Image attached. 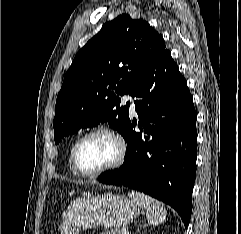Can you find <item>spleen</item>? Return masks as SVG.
Returning a JSON list of instances; mask_svg holds the SVG:
<instances>
[{
	"label": "spleen",
	"instance_id": "1",
	"mask_svg": "<svg viewBox=\"0 0 241 234\" xmlns=\"http://www.w3.org/2000/svg\"><path fill=\"white\" fill-rule=\"evenodd\" d=\"M128 196L133 199L140 208L145 210L149 224L157 225L165 220L167 211L160 201L137 191L129 192Z\"/></svg>",
	"mask_w": 241,
	"mask_h": 234
}]
</instances>
